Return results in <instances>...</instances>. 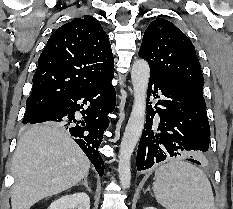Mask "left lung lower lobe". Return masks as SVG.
Returning <instances> with one entry per match:
<instances>
[{
  "label": "left lung lower lobe",
  "mask_w": 233,
  "mask_h": 209,
  "mask_svg": "<svg viewBox=\"0 0 233 209\" xmlns=\"http://www.w3.org/2000/svg\"><path fill=\"white\" fill-rule=\"evenodd\" d=\"M158 98L155 109L147 104V118L137 151V169L152 167L185 151L207 152L210 127L204 98L186 85L150 72L148 97ZM160 122L153 121L155 114ZM192 157V156H191ZM188 161L200 164L199 161Z\"/></svg>",
  "instance_id": "0a47b994"
}]
</instances>
